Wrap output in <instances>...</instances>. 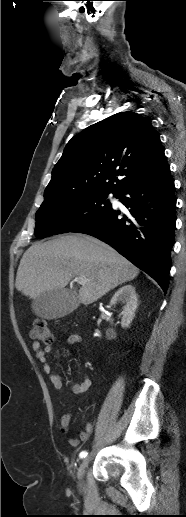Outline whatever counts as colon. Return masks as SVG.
Returning <instances> with one entry per match:
<instances>
[{"label": "colon", "instance_id": "1", "mask_svg": "<svg viewBox=\"0 0 186 517\" xmlns=\"http://www.w3.org/2000/svg\"><path fill=\"white\" fill-rule=\"evenodd\" d=\"M32 337L43 343H50L54 340V335L48 326V324L43 320H35L32 328Z\"/></svg>", "mask_w": 186, "mask_h": 517}]
</instances>
